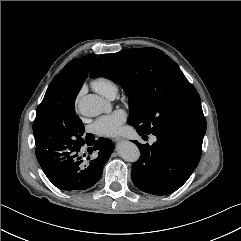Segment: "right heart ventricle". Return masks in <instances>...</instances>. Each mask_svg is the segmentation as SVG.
<instances>
[{
	"label": "right heart ventricle",
	"mask_w": 241,
	"mask_h": 241,
	"mask_svg": "<svg viewBox=\"0 0 241 241\" xmlns=\"http://www.w3.org/2000/svg\"><path fill=\"white\" fill-rule=\"evenodd\" d=\"M91 85L98 93L106 97L117 92L116 84L107 77H97L92 80Z\"/></svg>",
	"instance_id": "obj_1"
}]
</instances>
